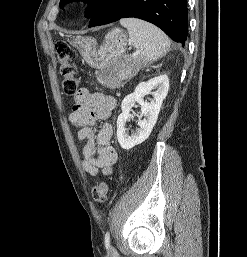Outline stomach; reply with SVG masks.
<instances>
[{
  "label": "stomach",
  "mask_w": 247,
  "mask_h": 257,
  "mask_svg": "<svg viewBox=\"0 0 247 257\" xmlns=\"http://www.w3.org/2000/svg\"><path fill=\"white\" fill-rule=\"evenodd\" d=\"M73 44L91 67L101 69L116 62V83L130 78L136 71L138 61H129L125 55L127 34L122 29H112L101 44L93 37H78Z\"/></svg>",
  "instance_id": "stomach-1"
}]
</instances>
